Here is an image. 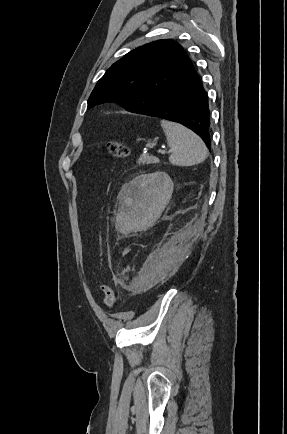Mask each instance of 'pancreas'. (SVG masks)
I'll use <instances>...</instances> for the list:
<instances>
[{
  "instance_id": "obj_1",
  "label": "pancreas",
  "mask_w": 287,
  "mask_h": 434,
  "mask_svg": "<svg viewBox=\"0 0 287 434\" xmlns=\"http://www.w3.org/2000/svg\"><path fill=\"white\" fill-rule=\"evenodd\" d=\"M158 162H159L158 158L153 157V156H148V155H141L137 161L138 165L154 164V163H158Z\"/></svg>"
}]
</instances>
